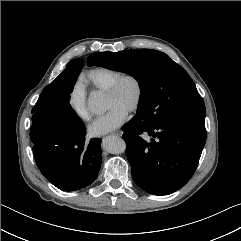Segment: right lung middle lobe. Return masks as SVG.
Returning <instances> with one entry per match:
<instances>
[{
    "label": "right lung middle lobe",
    "mask_w": 241,
    "mask_h": 241,
    "mask_svg": "<svg viewBox=\"0 0 241 241\" xmlns=\"http://www.w3.org/2000/svg\"><path fill=\"white\" fill-rule=\"evenodd\" d=\"M83 67L81 59L71 61L66 69L47 85L32 109V126L30 135L36 137L51 135L53 124L61 132H81L85 129L83 122L72 109L69 101L77 77Z\"/></svg>",
    "instance_id": "1"
}]
</instances>
